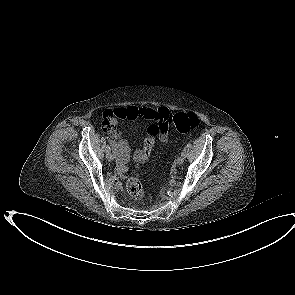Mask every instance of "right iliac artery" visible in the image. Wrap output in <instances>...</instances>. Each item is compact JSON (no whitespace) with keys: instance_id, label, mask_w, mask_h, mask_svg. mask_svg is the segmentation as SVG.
Listing matches in <instances>:
<instances>
[{"instance_id":"right-iliac-artery-1","label":"right iliac artery","mask_w":295,"mask_h":295,"mask_svg":"<svg viewBox=\"0 0 295 295\" xmlns=\"http://www.w3.org/2000/svg\"><path fill=\"white\" fill-rule=\"evenodd\" d=\"M109 151H111V148H110V146L108 145V146L106 147V152H109Z\"/></svg>"}]
</instances>
